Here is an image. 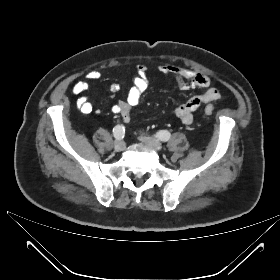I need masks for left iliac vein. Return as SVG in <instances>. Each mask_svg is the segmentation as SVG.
Returning a JSON list of instances; mask_svg holds the SVG:
<instances>
[{
	"label": "left iliac vein",
	"mask_w": 280,
	"mask_h": 280,
	"mask_svg": "<svg viewBox=\"0 0 280 280\" xmlns=\"http://www.w3.org/2000/svg\"><path fill=\"white\" fill-rule=\"evenodd\" d=\"M142 142H144L147 146L151 147L156 151H160L162 149V144L158 139L151 137H143Z\"/></svg>",
	"instance_id": "obj_1"
}]
</instances>
